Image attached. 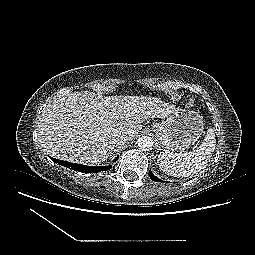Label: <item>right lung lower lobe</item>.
I'll return each mask as SVG.
<instances>
[{"label":"right lung lower lobe","mask_w":255,"mask_h":255,"mask_svg":"<svg viewBox=\"0 0 255 255\" xmlns=\"http://www.w3.org/2000/svg\"><path fill=\"white\" fill-rule=\"evenodd\" d=\"M50 158L53 162L58 163L59 165H62L64 167H68L70 169H73L74 171H78V172H82V173H97V172H101V171H107V170L112 168V165L99 166V167H97V166H87V165L75 164V163L55 159V158H52V157H50ZM116 160H117V158L115 159V161Z\"/></svg>","instance_id":"obj_1"}]
</instances>
